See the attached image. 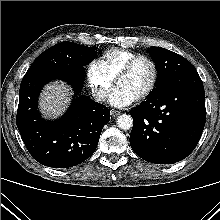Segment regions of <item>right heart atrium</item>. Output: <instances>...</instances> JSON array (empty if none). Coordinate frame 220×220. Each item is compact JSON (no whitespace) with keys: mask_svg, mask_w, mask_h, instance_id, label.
<instances>
[{"mask_svg":"<svg viewBox=\"0 0 220 220\" xmlns=\"http://www.w3.org/2000/svg\"><path fill=\"white\" fill-rule=\"evenodd\" d=\"M86 75L92 95L97 101H103L112 87L114 78L102 60H92L87 66Z\"/></svg>","mask_w":220,"mask_h":220,"instance_id":"1","label":"right heart atrium"}]
</instances>
